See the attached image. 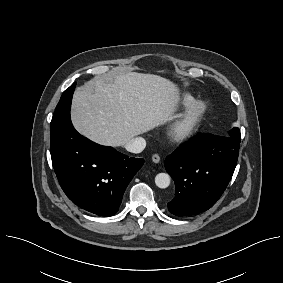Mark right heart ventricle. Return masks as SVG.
Segmentation results:
<instances>
[{"label": "right heart ventricle", "instance_id": "e07e8e85", "mask_svg": "<svg viewBox=\"0 0 283 283\" xmlns=\"http://www.w3.org/2000/svg\"><path fill=\"white\" fill-rule=\"evenodd\" d=\"M193 97L189 94H183L180 99H179V103L182 106H188L193 102Z\"/></svg>", "mask_w": 283, "mask_h": 283}]
</instances>
